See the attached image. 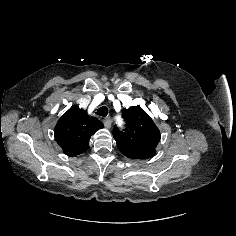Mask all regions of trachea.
I'll return each mask as SVG.
<instances>
[{
	"mask_svg": "<svg viewBox=\"0 0 236 236\" xmlns=\"http://www.w3.org/2000/svg\"><path fill=\"white\" fill-rule=\"evenodd\" d=\"M96 114L99 116L105 117L108 114V108L105 106H102L97 110Z\"/></svg>",
	"mask_w": 236,
	"mask_h": 236,
	"instance_id": "1",
	"label": "trachea"
}]
</instances>
